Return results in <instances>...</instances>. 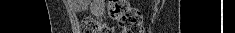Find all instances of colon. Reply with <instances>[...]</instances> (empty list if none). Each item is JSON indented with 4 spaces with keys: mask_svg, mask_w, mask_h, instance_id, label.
I'll list each match as a JSON object with an SVG mask.
<instances>
[{
    "mask_svg": "<svg viewBox=\"0 0 235 33\" xmlns=\"http://www.w3.org/2000/svg\"><path fill=\"white\" fill-rule=\"evenodd\" d=\"M108 14L116 20L122 33H143L142 17L140 13L131 8L123 0H110L108 3ZM83 33H114V29L94 18L82 20Z\"/></svg>",
    "mask_w": 235,
    "mask_h": 33,
    "instance_id": "5ec220e1",
    "label": "colon"
}]
</instances>
